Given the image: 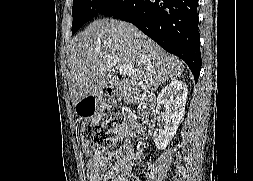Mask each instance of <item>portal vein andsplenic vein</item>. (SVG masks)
<instances>
[{
	"instance_id": "1",
	"label": "portal vein and splenic vein",
	"mask_w": 253,
	"mask_h": 181,
	"mask_svg": "<svg viewBox=\"0 0 253 181\" xmlns=\"http://www.w3.org/2000/svg\"><path fill=\"white\" fill-rule=\"evenodd\" d=\"M118 70L122 75L132 76L134 74V69L131 65H121Z\"/></svg>"
}]
</instances>
